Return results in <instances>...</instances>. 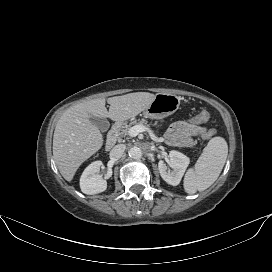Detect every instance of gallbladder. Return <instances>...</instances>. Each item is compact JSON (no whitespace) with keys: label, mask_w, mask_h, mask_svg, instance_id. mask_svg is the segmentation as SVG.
<instances>
[{"label":"gallbladder","mask_w":272,"mask_h":272,"mask_svg":"<svg viewBox=\"0 0 272 272\" xmlns=\"http://www.w3.org/2000/svg\"><path fill=\"white\" fill-rule=\"evenodd\" d=\"M89 120L102 132L107 131L110 127L108 120L105 118L89 115Z\"/></svg>","instance_id":"1"}]
</instances>
